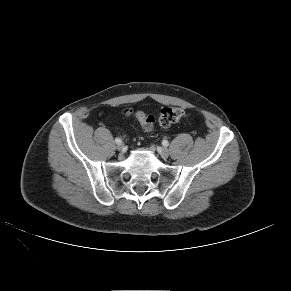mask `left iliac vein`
Returning <instances> with one entry per match:
<instances>
[{
	"label": "left iliac vein",
	"instance_id": "obj_1",
	"mask_svg": "<svg viewBox=\"0 0 291 291\" xmlns=\"http://www.w3.org/2000/svg\"><path fill=\"white\" fill-rule=\"evenodd\" d=\"M159 152L163 157H168V155H169V151L165 147L160 148Z\"/></svg>",
	"mask_w": 291,
	"mask_h": 291
}]
</instances>
